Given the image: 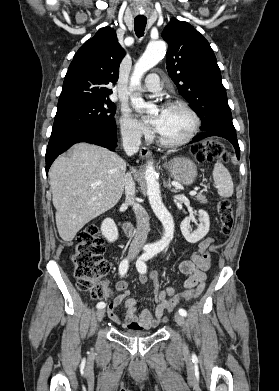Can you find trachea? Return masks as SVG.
I'll use <instances>...</instances> for the list:
<instances>
[{"label": "trachea", "mask_w": 279, "mask_h": 391, "mask_svg": "<svg viewBox=\"0 0 279 391\" xmlns=\"http://www.w3.org/2000/svg\"><path fill=\"white\" fill-rule=\"evenodd\" d=\"M147 19L136 17L134 21V31L138 38L144 35Z\"/></svg>", "instance_id": "3493384b"}]
</instances>
